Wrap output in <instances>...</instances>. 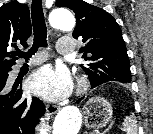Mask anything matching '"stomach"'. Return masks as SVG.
<instances>
[{"instance_id": "obj_1", "label": "stomach", "mask_w": 153, "mask_h": 134, "mask_svg": "<svg viewBox=\"0 0 153 134\" xmlns=\"http://www.w3.org/2000/svg\"><path fill=\"white\" fill-rule=\"evenodd\" d=\"M84 124L88 129L106 127L112 120L111 104L103 98L93 97L83 107Z\"/></svg>"}]
</instances>
